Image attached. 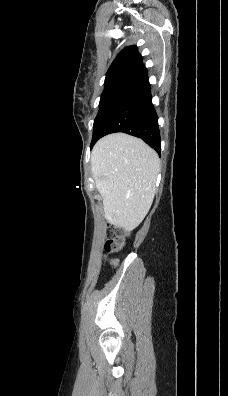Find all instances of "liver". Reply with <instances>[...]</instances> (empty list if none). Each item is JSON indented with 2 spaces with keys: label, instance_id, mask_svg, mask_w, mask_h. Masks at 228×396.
I'll list each match as a JSON object with an SVG mask.
<instances>
[{
  "label": "liver",
  "instance_id": "liver-1",
  "mask_svg": "<svg viewBox=\"0 0 228 396\" xmlns=\"http://www.w3.org/2000/svg\"><path fill=\"white\" fill-rule=\"evenodd\" d=\"M159 165L157 153L139 138L115 133L96 143L91 171L110 224L131 231L143 221L154 199Z\"/></svg>",
  "mask_w": 228,
  "mask_h": 396
}]
</instances>
